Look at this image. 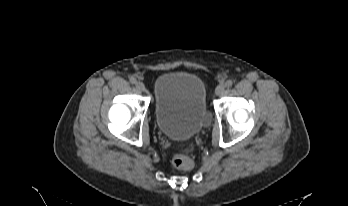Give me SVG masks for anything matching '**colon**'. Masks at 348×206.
<instances>
[{
	"mask_svg": "<svg viewBox=\"0 0 348 206\" xmlns=\"http://www.w3.org/2000/svg\"><path fill=\"white\" fill-rule=\"evenodd\" d=\"M172 166L179 170H190L193 167V161L187 154H178L172 158Z\"/></svg>",
	"mask_w": 348,
	"mask_h": 206,
	"instance_id": "5ec220e1",
	"label": "colon"
}]
</instances>
